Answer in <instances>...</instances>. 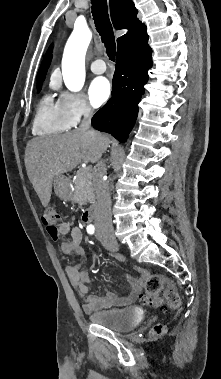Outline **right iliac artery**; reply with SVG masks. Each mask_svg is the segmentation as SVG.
Masks as SVG:
<instances>
[{
  "mask_svg": "<svg viewBox=\"0 0 221 379\" xmlns=\"http://www.w3.org/2000/svg\"><path fill=\"white\" fill-rule=\"evenodd\" d=\"M94 231H95V227H94L93 225H89V226H87V232H88L89 234H93Z\"/></svg>",
  "mask_w": 221,
  "mask_h": 379,
  "instance_id": "1",
  "label": "right iliac artery"
}]
</instances>
